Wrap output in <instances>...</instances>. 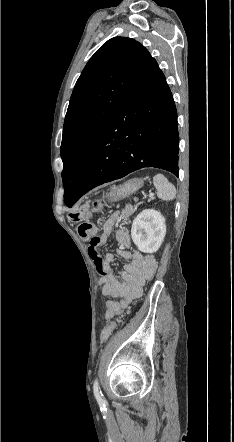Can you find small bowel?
Masks as SVG:
<instances>
[{
    "mask_svg": "<svg viewBox=\"0 0 234 442\" xmlns=\"http://www.w3.org/2000/svg\"><path fill=\"white\" fill-rule=\"evenodd\" d=\"M133 208L128 206L124 210L111 214L104 223V231L96 245L89 247V256L100 274L98 281L102 294L107 297L105 318L111 319L121 314L128 304L142 294L143 285L149 280L156 268V261L150 255H143L138 251H131V239L127 230L118 228L116 240L119 248L116 254L125 261L124 270L119 276L113 271L111 263L115 255L108 253L105 256L99 254L112 230L129 215Z\"/></svg>",
    "mask_w": 234,
    "mask_h": 442,
    "instance_id": "small-bowel-1",
    "label": "small bowel"
}]
</instances>
